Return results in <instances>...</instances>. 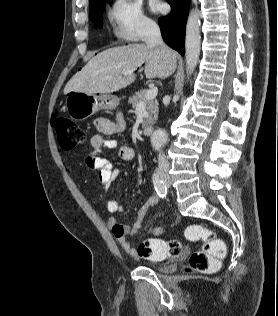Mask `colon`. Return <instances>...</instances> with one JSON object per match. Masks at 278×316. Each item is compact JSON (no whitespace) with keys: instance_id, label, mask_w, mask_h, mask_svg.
<instances>
[{"instance_id":"obj_1","label":"colon","mask_w":278,"mask_h":316,"mask_svg":"<svg viewBox=\"0 0 278 316\" xmlns=\"http://www.w3.org/2000/svg\"><path fill=\"white\" fill-rule=\"evenodd\" d=\"M54 128L59 146L63 150L73 149L87 139L86 131L68 118H55ZM185 235L189 240L203 242L202 247L190 255L186 271L207 274L217 270L225 256L226 248L214 231L201 225H191L186 228ZM137 251L141 257L148 259L175 258L181 255L182 245L178 240L147 239L140 243Z\"/></svg>"}]
</instances>
